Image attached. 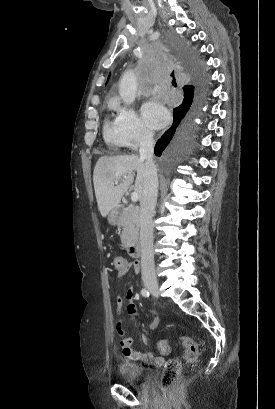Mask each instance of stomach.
I'll list each match as a JSON object with an SVG mask.
<instances>
[{
  "label": "stomach",
  "instance_id": "1",
  "mask_svg": "<svg viewBox=\"0 0 275 409\" xmlns=\"http://www.w3.org/2000/svg\"><path fill=\"white\" fill-rule=\"evenodd\" d=\"M120 215H121L120 207H114V209H112V211H110V213L108 215L109 225H118Z\"/></svg>",
  "mask_w": 275,
  "mask_h": 409
}]
</instances>
